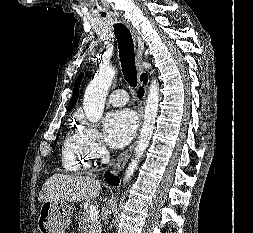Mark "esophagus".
<instances>
[{
	"instance_id": "34e87169",
	"label": "esophagus",
	"mask_w": 253,
	"mask_h": 233,
	"mask_svg": "<svg viewBox=\"0 0 253 233\" xmlns=\"http://www.w3.org/2000/svg\"><path fill=\"white\" fill-rule=\"evenodd\" d=\"M126 24L132 33L134 43L136 46V67H137L138 74L140 76L143 73V66H142L143 43H142L141 39L139 38V36L136 34L134 28L130 25V23L128 21H126ZM140 84H142V83H140ZM144 106H145V101L143 99L139 100L138 104H137V110H138L140 125L142 124V121H143ZM136 141H137V136H136L135 140L132 142V144L118 156V158L116 159V161L112 167L113 174H118L125 167L126 163L128 162V160L134 150V147L136 145Z\"/></svg>"
}]
</instances>
